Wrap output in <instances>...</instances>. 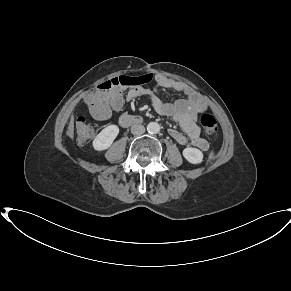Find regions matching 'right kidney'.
Segmentation results:
<instances>
[{
  "instance_id": "1",
  "label": "right kidney",
  "mask_w": 291,
  "mask_h": 291,
  "mask_svg": "<svg viewBox=\"0 0 291 291\" xmlns=\"http://www.w3.org/2000/svg\"><path fill=\"white\" fill-rule=\"evenodd\" d=\"M118 134L119 127L117 125L105 127L93 140L92 146L94 150L103 151L108 149Z\"/></svg>"
}]
</instances>
